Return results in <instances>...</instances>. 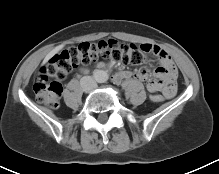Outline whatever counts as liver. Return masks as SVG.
Segmentation results:
<instances>
[{
    "label": "liver",
    "mask_w": 219,
    "mask_h": 174,
    "mask_svg": "<svg viewBox=\"0 0 219 174\" xmlns=\"http://www.w3.org/2000/svg\"><path fill=\"white\" fill-rule=\"evenodd\" d=\"M61 49L60 46L56 47L55 49H53L46 57V59L52 57L54 54H56L59 50Z\"/></svg>",
    "instance_id": "obj_1"
}]
</instances>
